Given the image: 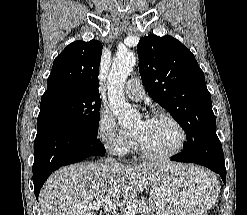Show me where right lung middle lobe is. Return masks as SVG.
<instances>
[{"instance_id":"dd1d6c3e","label":"right lung middle lobe","mask_w":247,"mask_h":215,"mask_svg":"<svg viewBox=\"0 0 247 215\" xmlns=\"http://www.w3.org/2000/svg\"><path fill=\"white\" fill-rule=\"evenodd\" d=\"M100 107V96L86 95L66 88L46 91L41 98L37 123L62 122L97 135Z\"/></svg>"}]
</instances>
